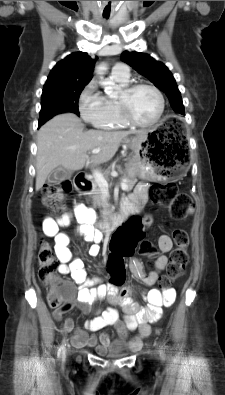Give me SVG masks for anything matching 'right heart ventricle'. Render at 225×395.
<instances>
[{
	"label": "right heart ventricle",
	"instance_id": "right-heart-ventricle-1",
	"mask_svg": "<svg viewBox=\"0 0 225 395\" xmlns=\"http://www.w3.org/2000/svg\"><path fill=\"white\" fill-rule=\"evenodd\" d=\"M111 79L117 83L121 89L129 84V79L123 80L113 76H111ZM102 97L104 100L105 112L98 127L105 130L122 129L127 127V124L122 120L117 99L109 96Z\"/></svg>",
	"mask_w": 225,
	"mask_h": 395
}]
</instances>
